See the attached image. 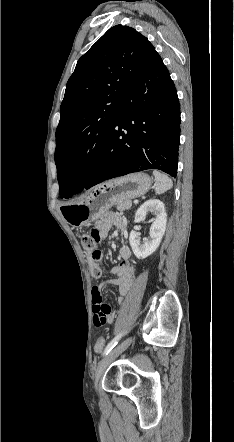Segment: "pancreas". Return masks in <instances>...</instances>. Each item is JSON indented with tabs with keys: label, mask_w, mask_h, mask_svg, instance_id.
<instances>
[{
	"label": "pancreas",
	"mask_w": 234,
	"mask_h": 442,
	"mask_svg": "<svg viewBox=\"0 0 234 442\" xmlns=\"http://www.w3.org/2000/svg\"><path fill=\"white\" fill-rule=\"evenodd\" d=\"M131 206H132V201L131 200H125V201L116 203V208L119 211L128 210V209L131 208Z\"/></svg>",
	"instance_id": "obj_1"
}]
</instances>
